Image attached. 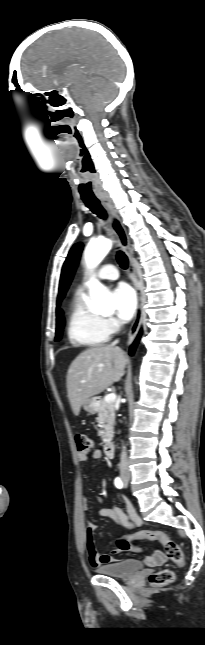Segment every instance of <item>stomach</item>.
<instances>
[{"label": "stomach", "instance_id": "obj_1", "mask_svg": "<svg viewBox=\"0 0 205 645\" xmlns=\"http://www.w3.org/2000/svg\"><path fill=\"white\" fill-rule=\"evenodd\" d=\"M99 399L94 397L89 399L85 404H83L84 410L89 414H95L99 408Z\"/></svg>", "mask_w": 205, "mask_h": 645}]
</instances>
